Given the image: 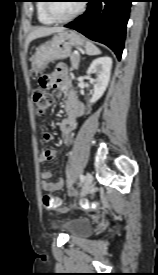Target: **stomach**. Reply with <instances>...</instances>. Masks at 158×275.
Segmentation results:
<instances>
[{"label":"stomach","mask_w":158,"mask_h":275,"mask_svg":"<svg viewBox=\"0 0 158 275\" xmlns=\"http://www.w3.org/2000/svg\"><path fill=\"white\" fill-rule=\"evenodd\" d=\"M85 38L76 31L65 30L54 35V37L40 45L33 56L32 67L40 72L50 63L66 59L71 55L72 48L84 46Z\"/></svg>","instance_id":"stomach-1"}]
</instances>
